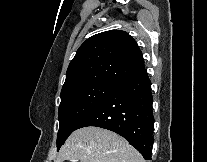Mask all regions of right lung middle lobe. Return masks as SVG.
<instances>
[{
	"label": "right lung middle lobe",
	"instance_id": "right-lung-middle-lobe-1",
	"mask_svg": "<svg viewBox=\"0 0 207 162\" xmlns=\"http://www.w3.org/2000/svg\"><path fill=\"white\" fill-rule=\"evenodd\" d=\"M114 87V85L109 84H94L61 93L57 150H59L68 136L76 130L80 122Z\"/></svg>",
	"mask_w": 207,
	"mask_h": 162
}]
</instances>
